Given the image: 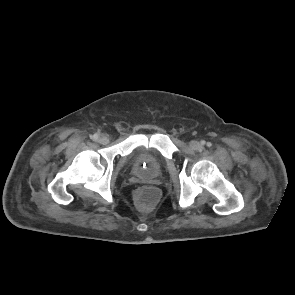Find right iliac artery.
<instances>
[{
  "label": "right iliac artery",
  "mask_w": 295,
  "mask_h": 295,
  "mask_svg": "<svg viewBox=\"0 0 295 295\" xmlns=\"http://www.w3.org/2000/svg\"><path fill=\"white\" fill-rule=\"evenodd\" d=\"M91 138L96 141V140H98L99 135L98 134H94Z\"/></svg>",
  "instance_id": "right-iliac-artery-1"
}]
</instances>
